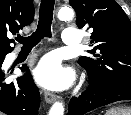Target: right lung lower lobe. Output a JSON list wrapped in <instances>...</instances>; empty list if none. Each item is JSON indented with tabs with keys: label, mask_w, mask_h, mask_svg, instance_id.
Segmentation results:
<instances>
[{
	"label": "right lung lower lobe",
	"mask_w": 131,
	"mask_h": 115,
	"mask_svg": "<svg viewBox=\"0 0 131 115\" xmlns=\"http://www.w3.org/2000/svg\"><path fill=\"white\" fill-rule=\"evenodd\" d=\"M4 58L0 61V68ZM27 74L9 84L3 82L5 74L0 69V111L7 115H37L40 95L26 65L21 67Z\"/></svg>",
	"instance_id": "1"
}]
</instances>
